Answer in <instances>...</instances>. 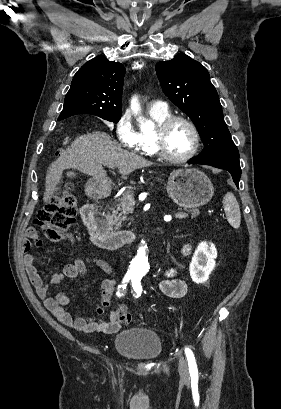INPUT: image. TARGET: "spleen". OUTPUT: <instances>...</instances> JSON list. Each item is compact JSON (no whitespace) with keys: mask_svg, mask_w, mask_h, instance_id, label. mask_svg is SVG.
Instances as JSON below:
<instances>
[{"mask_svg":"<svg viewBox=\"0 0 281 409\" xmlns=\"http://www.w3.org/2000/svg\"><path fill=\"white\" fill-rule=\"evenodd\" d=\"M223 207L227 221L233 229H239L241 223V213L238 202L233 192H227L223 198Z\"/></svg>","mask_w":281,"mask_h":409,"instance_id":"obj_1","label":"spleen"}]
</instances>
